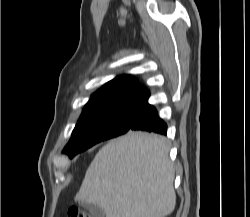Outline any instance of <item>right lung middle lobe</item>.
Wrapping results in <instances>:
<instances>
[{"label":"right lung middle lobe","instance_id":"dd1d6c3e","mask_svg":"<svg viewBox=\"0 0 250 217\" xmlns=\"http://www.w3.org/2000/svg\"><path fill=\"white\" fill-rule=\"evenodd\" d=\"M141 105L105 110L80 117L63 153L72 158L89 147L129 131Z\"/></svg>","mask_w":250,"mask_h":217}]
</instances>
